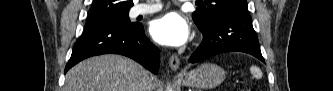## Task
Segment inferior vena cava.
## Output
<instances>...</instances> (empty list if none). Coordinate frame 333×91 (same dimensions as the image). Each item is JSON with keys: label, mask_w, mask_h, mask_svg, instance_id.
I'll list each match as a JSON object with an SVG mask.
<instances>
[{"label": "inferior vena cava", "mask_w": 333, "mask_h": 91, "mask_svg": "<svg viewBox=\"0 0 333 91\" xmlns=\"http://www.w3.org/2000/svg\"><path fill=\"white\" fill-rule=\"evenodd\" d=\"M142 91H152V84H151L150 81H147V82L144 84V86H143V88H142Z\"/></svg>", "instance_id": "602c4592"}]
</instances>
